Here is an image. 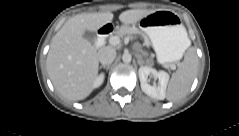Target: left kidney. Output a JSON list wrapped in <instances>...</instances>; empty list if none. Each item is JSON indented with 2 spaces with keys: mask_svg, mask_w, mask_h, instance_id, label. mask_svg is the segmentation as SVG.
Segmentation results:
<instances>
[{
  "mask_svg": "<svg viewBox=\"0 0 239 136\" xmlns=\"http://www.w3.org/2000/svg\"><path fill=\"white\" fill-rule=\"evenodd\" d=\"M139 79L142 91L148 96L163 100L166 97V88L169 82V74L164 71H157L154 68L148 66H141L139 68ZM153 75V77L158 78V85H150L148 83V76Z\"/></svg>",
  "mask_w": 239,
  "mask_h": 136,
  "instance_id": "5707ae66",
  "label": "left kidney"
}]
</instances>
